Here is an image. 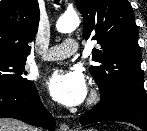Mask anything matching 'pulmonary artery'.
Listing matches in <instances>:
<instances>
[{
    "label": "pulmonary artery",
    "mask_w": 147,
    "mask_h": 131,
    "mask_svg": "<svg viewBox=\"0 0 147 131\" xmlns=\"http://www.w3.org/2000/svg\"><path fill=\"white\" fill-rule=\"evenodd\" d=\"M78 50V43L74 39H67L60 45L53 46L43 55V60L54 61L68 58Z\"/></svg>",
    "instance_id": "pulmonary-artery-1"
}]
</instances>
